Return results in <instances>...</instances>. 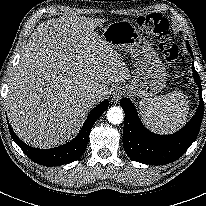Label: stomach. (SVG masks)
I'll use <instances>...</instances> for the list:
<instances>
[{
	"mask_svg": "<svg viewBox=\"0 0 206 206\" xmlns=\"http://www.w3.org/2000/svg\"><path fill=\"white\" fill-rule=\"evenodd\" d=\"M102 38L116 51L129 53L135 61L133 76L125 85L130 96L151 98L165 87L164 64L131 21L111 22L103 29Z\"/></svg>",
	"mask_w": 206,
	"mask_h": 206,
	"instance_id": "0dacf381",
	"label": "stomach"
}]
</instances>
